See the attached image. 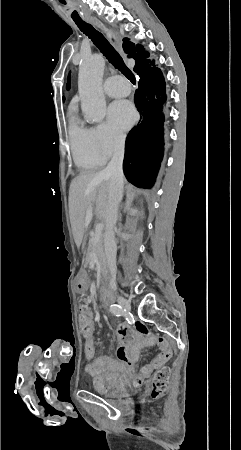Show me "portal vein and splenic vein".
<instances>
[{"label": "portal vein and splenic vein", "instance_id": "obj_1", "mask_svg": "<svg viewBox=\"0 0 241 450\" xmlns=\"http://www.w3.org/2000/svg\"><path fill=\"white\" fill-rule=\"evenodd\" d=\"M103 228H104L103 224H97L94 232V238H92V240H99V238H101Z\"/></svg>", "mask_w": 241, "mask_h": 450}]
</instances>
